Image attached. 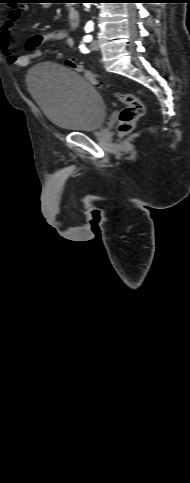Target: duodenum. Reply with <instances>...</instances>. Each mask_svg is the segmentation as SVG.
I'll return each instance as SVG.
<instances>
[{
	"label": "duodenum",
	"instance_id": "410a0bca",
	"mask_svg": "<svg viewBox=\"0 0 190 483\" xmlns=\"http://www.w3.org/2000/svg\"><path fill=\"white\" fill-rule=\"evenodd\" d=\"M79 13L75 7H71L68 10V22L72 28H76L79 23Z\"/></svg>",
	"mask_w": 190,
	"mask_h": 483
}]
</instances>
